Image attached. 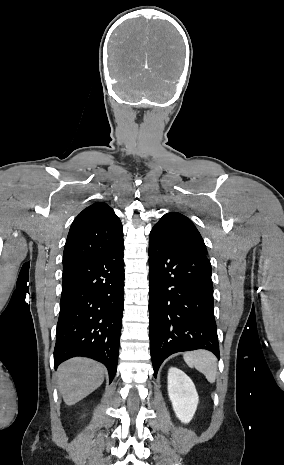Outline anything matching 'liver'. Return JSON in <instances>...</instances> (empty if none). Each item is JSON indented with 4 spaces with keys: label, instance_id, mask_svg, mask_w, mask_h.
I'll use <instances>...</instances> for the list:
<instances>
[{
    "label": "liver",
    "instance_id": "1",
    "mask_svg": "<svg viewBox=\"0 0 284 465\" xmlns=\"http://www.w3.org/2000/svg\"><path fill=\"white\" fill-rule=\"evenodd\" d=\"M105 367L91 359H70L58 369L59 391L66 405H75L98 389L104 381Z\"/></svg>",
    "mask_w": 284,
    "mask_h": 465
}]
</instances>
